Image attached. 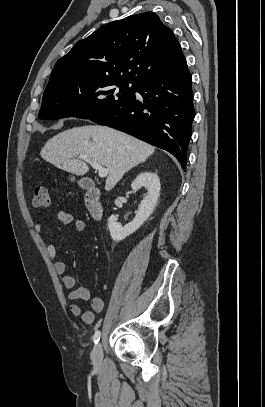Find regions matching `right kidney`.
<instances>
[{"instance_id":"1","label":"right kidney","mask_w":265,"mask_h":407,"mask_svg":"<svg viewBox=\"0 0 265 407\" xmlns=\"http://www.w3.org/2000/svg\"><path fill=\"white\" fill-rule=\"evenodd\" d=\"M142 186L148 190V195L139 205L138 212L133 221L122 227L117 222V217L115 215L109 217L108 229L110 231V236L114 241L119 242L133 234L152 214L160 193V179L158 175L149 171L139 174L132 182L131 187L133 190H138Z\"/></svg>"}]
</instances>
